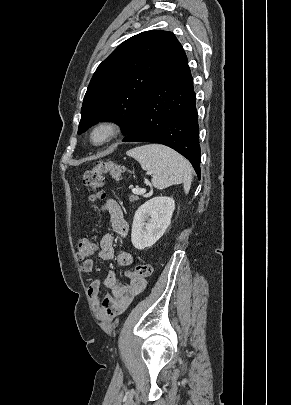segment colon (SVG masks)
<instances>
[{
  "mask_svg": "<svg viewBox=\"0 0 291 405\" xmlns=\"http://www.w3.org/2000/svg\"><path fill=\"white\" fill-rule=\"evenodd\" d=\"M125 173V166L117 164L111 160L97 162L93 168L87 170L83 175V184L92 190L90 200L95 202L103 199L104 194L101 190L104 184V178L109 175L115 181H120ZM77 259L81 262L88 260L95 252V244L87 237H81L76 243ZM152 273L150 264H137L131 271L126 272V276L131 282L144 280Z\"/></svg>",
  "mask_w": 291,
  "mask_h": 405,
  "instance_id": "5ec220e1",
  "label": "colon"
}]
</instances>
